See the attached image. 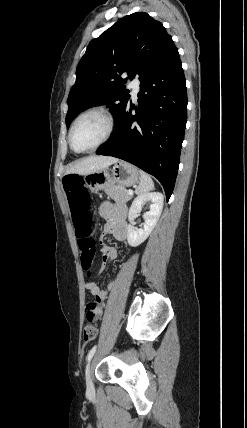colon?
<instances>
[{
	"label": "colon",
	"instance_id": "colon-1",
	"mask_svg": "<svg viewBox=\"0 0 247 428\" xmlns=\"http://www.w3.org/2000/svg\"><path fill=\"white\" fill-rule=\"evenodd\" d=\"M64 190L69 202L71 216L76 228L78 244L81 251V265L91 275L95 256V241L91 236L92 218L89 209V194L83 179L77 175H68L63 179ZM84 313L88 322L84 326L83 338L86 342L93 341L98 335L97 323L104 314V300L87 298Z\"/></svg>",
	"mask_w": 247,
	"mask_h": 428
}]
</instances>
